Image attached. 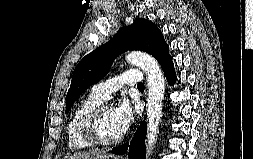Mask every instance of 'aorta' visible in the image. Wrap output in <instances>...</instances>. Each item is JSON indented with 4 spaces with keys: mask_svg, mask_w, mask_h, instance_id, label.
<instances>
[{
    "mask_svg": "<svg viewBox=\"0 0 253 159\" xmlns=\"http://www.w3.org/2000/svg\"><path fill=\"white\" fill-rule=\"evenodd\" d=\"M127 62L137 65L147 75V139L148 155L152 154L157 142L159 124L162 117L163 99L165 94V79L158 62L149 54L131 52L126 55Z\"/></svg>",
    "mask_w": 253,
    "mask_h": 159,
    "instance_id": "obj_1",
    "label": "aorta"
}]
</instances>
